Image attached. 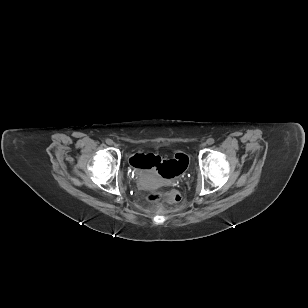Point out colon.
<instances>
[{"label":"colon","instance_id":"1","mask_svg":"<svg viewBox=\"0 0 308 308\" xmlns=\"http://www.w3.org/2000/svg\"><path fill=\"white\" fill-rule=\"evenodd\" d=\"M131 164L140 169L155 168L162 177L173 178L185 171L188 166V157L181 152H177L174 159L162 160L154 154L139 153L131 158ZM163 199L170 203H179L181 195L177 190L171 189L163 193L153 192L147 196V201L151 203H158Z\"/></svg>","mask_w":308,"mask_h":308}]
</instances>
